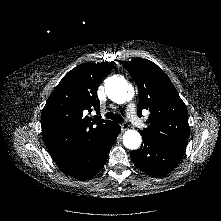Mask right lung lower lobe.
<instances>
[{
  "label": "right lung lower lobe",
  "mask_w": 221,
  "mask_h": 221,
  "mask_svg": "<svg viewBox=\"0 0 221 221\" xmlns=\"http://www.w3.org/2000/svg\"><path fill=\"white\" fill-rule=\"evenodd\" d=\"M121 131L118 124H113L108 132L96 139L88 148L76 157L58 164V167L66 174L86 180L97 174L106 163L111 147Z\"/></svg>",
  "instance_id": "98d812e1"
}]
</instances>
